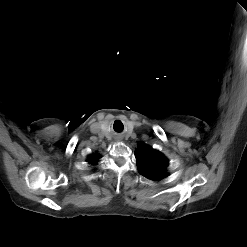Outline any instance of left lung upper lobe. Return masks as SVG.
<instances>
[{
	"label": "left lung upper lobe",
	"mask_w": 247,
	"mask_h": 247,
	"mask_svg": "<svg viewBox=\"0 0 247 247\" xmlns=\"http://www.w3.org/2000/svg\"><path fill=\"white\" fill-rule=\"evenodd\" d=\"M135 157L139 172L152 180H160L167 176L166 167L168 160L166 157L152 147L140 146L135 151Z\"/></svg>",
	"instance_id": "1"
}]
</instances>
